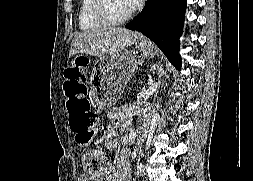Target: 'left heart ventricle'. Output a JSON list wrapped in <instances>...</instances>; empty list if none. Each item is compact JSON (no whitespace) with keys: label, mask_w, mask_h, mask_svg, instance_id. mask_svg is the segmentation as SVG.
Returning a JSON list of instances; mask_svg holds the SVG:
<instances>
[{"label":"left heart ventricle","mask_w":253,"mask_h":181,"mask_svg":"<svg viewBox=\"0 0 253 181\" xmlns=\"http://www.w3.org/2000/svg\"><path fill=\"white\" fill-rule=\"evenodd\" d=\"M109 10L115 18L123 17L131 11L125 0H109Z\"/></svg>","instance_id":"left-heart-ventricle-1"}]
</instances>
